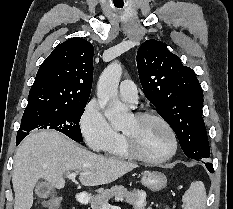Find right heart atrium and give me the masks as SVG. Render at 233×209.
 I'll list each match as a JSON object with an SVG mask.
<instances>
[{"instance_id": "right-heart-atrium-1", "label": "right heart atrium", "mask_w": 233, "mask_h": 209, "mask_svg": "<svg viewBox=\"0 0 233 209\" xmlns=\"http://www.w3.org/2000/svg\"><path fill=\"white\" fill-rule=\"evenodd\" d=\"M79 126L86 144L95 151H104L112 146L119 134L111 127L96 99L84 107Z\"/></svg>"}]
</instances>
